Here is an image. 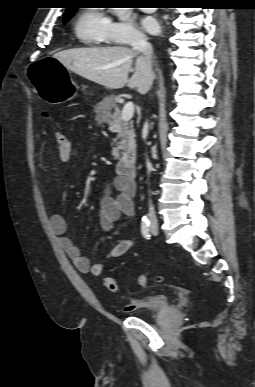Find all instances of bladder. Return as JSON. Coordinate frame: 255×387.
I'll return each mask as SVG.
<instances>
[{
  "mask_svg": "<svg viewBox=\"0 0 255 387\" xmlns=\"http://www.w3.org/2000/svg\"><path fill=\"white\" fill-rule=\"evenodd\" d=\"M170 306L171 304L166 294L152 293L138 300L137 306L129 312L138 317H145L166 310Z\"/></svg>",
  "mask_w": 255,
  "mask_h": 387,
  "instance_id": "bladder-1",
  "label": "bladder"
}]
</instances>
